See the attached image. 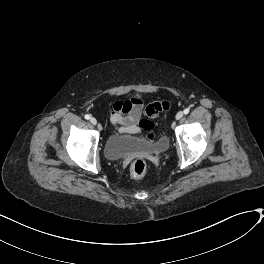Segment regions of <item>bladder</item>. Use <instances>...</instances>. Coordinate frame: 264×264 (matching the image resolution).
I'll return each instance as SVG.
<instances>
[{"label": "bladder", "instance_id": "31cf9c89", "mask_svg": "<svg viewBox=\"0 0 264 264\" xmlns=\"http://www.w3.org/2000/svg\"><path fill=\"white\" fill-rule=\"evenodd\" d=\"M168 137L149 138L121 133L109 136L104 145V154L109 161H117L131 155H157L168 148Z\"/></svg>", "mask_w": 264, "mask_h": 264}]
</instances>
